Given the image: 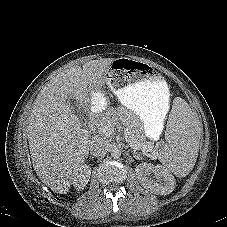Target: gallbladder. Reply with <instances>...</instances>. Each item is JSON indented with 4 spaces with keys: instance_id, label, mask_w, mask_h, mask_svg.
<instances>
[{
    "instance_id": "bac80fb5",
    "label": "gallbladder",
    "mask_w": 227,
    "mask_h": 227,
    "mask_svg": "<svg viewBox=\"0 0 227 227\" xmlns=\"http://www.w3.org/2000/svg\"><path fill=\"white\" fill-rule=\"evenodd\" d=\"M67 103L70 105L73 113L80 119V120H85L86 116L88 114V111L83 108L82 106H80V104L78 103V101H76L73 98H69L67 100Z\"/></svg>"
}]
</instances>
